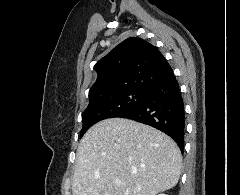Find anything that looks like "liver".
<instances>
[{
  "mask_svg": "<svg viewBox=\"0 0 240 195\" xmlns=\"http://www.w3.org/2000/svg\"><path fill=\"white\" fill-rule=\"evenodd\" d=\"M181 169V151L169 135L110 117L92 125L78 145L72 195H156L178 183Z\"/></svg>",
  "mask_w": 240,
  "mask_h": 195,
  "instance_id": "1",
  "label": "liver"
}]
</instances>
